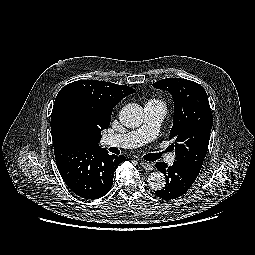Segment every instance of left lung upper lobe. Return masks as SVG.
Masks as SVG:
<instances>
[{"mask_svg": "<svg viewBox=\"0 0 255 255\" xmlns=\"http://www.w3.org/2000/svg\"><path fill=\"white\" fill-rule=\"evenodd\" d=\"M168 91L174 101L173 127L176 160L186 161L201 169L208 150L213 116L204 88L181 78H166L153 84Z\"/></svg>", "mask_w": 255, "mask_h": 255, "instance_id": "left-lung-upper-lobe-1", "label": "left lung upper lobe"}]
</instances>
